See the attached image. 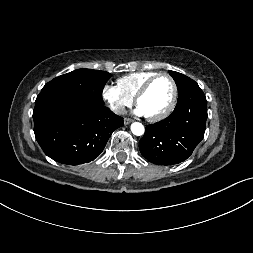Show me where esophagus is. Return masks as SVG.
Masks as SVG:
<instances>
[{
  "label": "esophagus",
  "instance_id": "esophagus-1",
  "mask_svg": "<svg viewBox=\"0 0 253 253\" xmlns=\"http://www.w3.org/2000/svg\"><path fill=\"white\" fill-rule=\"evenodd\" d=\"M132 121H133V120L130 119V118H125V119H124V124H125V125H128V124H130Z\"/></svg>",
  "mask_w": 253,
  "mask_h": 253
}]
</instances>
